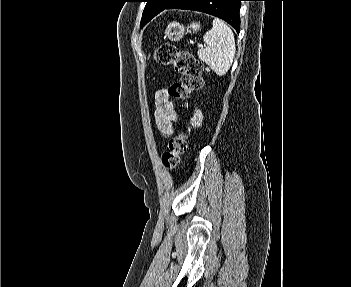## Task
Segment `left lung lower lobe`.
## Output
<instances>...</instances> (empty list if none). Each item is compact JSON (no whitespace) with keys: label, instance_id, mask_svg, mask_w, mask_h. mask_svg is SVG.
<instances>
[{"label":"left lung lower lobe","instance_id":"obj_1","mask_svg":"<svg viewBox=\"0 0 351 287\" xmlns=\"http://www.w3.org/2000/svg\"><path fill=\"white\" fill-rule=\"evenodd\" d=\"M241 1L244 0H174L165 9H185L204 12L225 20L239 33Z\"/></svg>","mask_w":351,"mask_h":287}]
</instances>
